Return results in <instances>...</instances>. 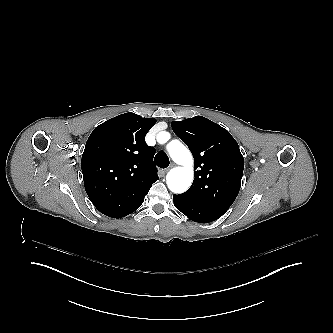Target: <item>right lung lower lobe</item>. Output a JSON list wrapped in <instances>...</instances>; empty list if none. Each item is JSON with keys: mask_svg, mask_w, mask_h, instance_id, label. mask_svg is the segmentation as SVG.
<instances>
[{"mask_svg": "<svg viewBox=\"0 0 333 333\" xmlns=\"http://www.w3.org/2000/svg\"><path fill=\"white\" fill-rule=\"evenodd\" d=\"M85 190L94 206L103 214L122 218L134 212L159 178L149 176L116 177L104 159L83 169Z\"/></svg>", "mask_w": 333, "mask_h": 333, "instance_id": "98d812e1", "label": "right lung lower lobe"}]
</instances>
